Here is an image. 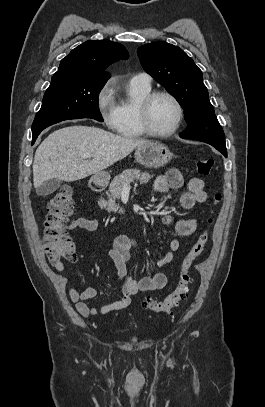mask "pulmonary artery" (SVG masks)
<instances>
[{
	"mask_svg": "<svg viewBox=\"0 0 265 407\" xmlns=\"http://www.w3.org/2000/svg\"><path fill=\"white\" fill-rule=\"evenodd\" d=\"M132 80L140 81L145 84L151 83V76L147 73H138L132 77Z\"/></svg>",
	"mask_w": 265,
	"mask_h": 407,
	"instance_id": "1",
	"label": "pulmonary artery"
}]
</instances>
